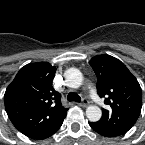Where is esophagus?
I'll return each instance as SVG.
<instances>
[{
	"instance_id": "obj_1",
	"label": "esophagus",
	"mask_w": 145,
	"mask_h": 145,
	"mask_svg": "<svg viewBox=\"0 0 145 145\" xmlns=\"http://www.w3.org/2000/svg\"><path fill=\"white\" fill-rule=\"evenodd\" d=\"M79 106L82 107H87L88 106V101L86 99H84L82 102L78 103Z\"/></svg>"
}]
</instances>
